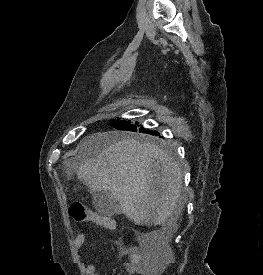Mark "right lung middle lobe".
<instances>
[{
  "mask_svg": "<svg viewBox=\"0 0 263 275\" xmlns=\"http://www.w3.org/2000/svg\"><path fill=\"white\" fill-rule=\"evenodd\" d=\"M112 126L115 129L118 130H123V131H131V132H136V135L138 138L146 141H155L159 142L161 141V136L157 131L145 129L144 127H140L137 123L133 124L131 123L130 120H120L118 119L117 121L113 119L110 121ZM159 136V137H157Z\"/></svg>",
  "mask_w": 263,
  "mask_h": 275,
  "instance_id": "obj_1",
  "label": "right lung middle lobe"
}]
</instances>
